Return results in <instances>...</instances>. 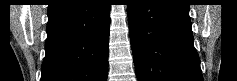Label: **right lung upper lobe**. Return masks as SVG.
Returning a JSON list of instances; mask_svg holds the SVG:
<instances>
[{"label":"right lung upper lobe","instance_id":"obj_1","mask_svg":"<svg viewBox=\"0 0 237 81\" xmlns=\"http://www.w3.org/2000/svg\"><path fill=\"white\" fill-rule=\"evenodd\" d=\"M64 1H66V0H52V3L49 5V7L55 6V5H57L61 2H64Z\"/></svg>","mask_w":237,"mask_h":81}]
</instances>
